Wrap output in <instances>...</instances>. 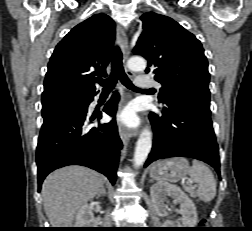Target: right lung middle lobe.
<instances>
[{
	"label": "right lung middle lobe",
	"mask_w": 252,
	"mask_h": 231,
	"mask_svg": "<svg viewBox=\"0 0 252 231\" xmlns=\"http://www.w3.org/2000/svg\"><path fill=\"white\" fill-rule=\"evenodd\" d=\"M83 103L84 97L81 96H62L42 101V116L47 119L66 111H76Z\"/></svg>",
	"instance_id": "right-lung-middle-lobe-1"
}]
</instances>
